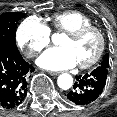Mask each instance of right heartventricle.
I'll list each match as a JSON object with an SVG mask.
<instances>
[{
  "mask_svg": "<svg viewBox=\"0 0 117 117\" xmlns=\"http://www.w3.org/2000/svg\"><path fill=\"white\" fill-rule=\"evenodd\" d=\"M52 27L59 32H68L78 27L91 25V19L79 11H64L51 16Z\"/></svg>",
  "mask_w": 117,
  "mask_h": 117,
  "instance_id": "right-heart-ventricle-1",
  "label": "right heart ventricle"
}]
</instances>
